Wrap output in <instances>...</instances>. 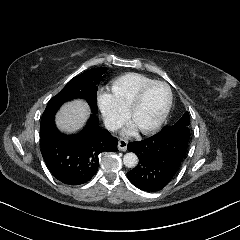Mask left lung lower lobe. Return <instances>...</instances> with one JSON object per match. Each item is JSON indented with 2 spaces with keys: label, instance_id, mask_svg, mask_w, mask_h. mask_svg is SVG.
<instances>
[{
  "label": "left lung lower lobe",
  "instance_id": "obj_1",
  "mask_svg": "<svg viewBox=\"0 0 240 240\" xmlns=\"http://www.w3.org/2000/svg\"><path fill=\"white\" fill-rule=\"evenodd\" d=\"M189 138L180 131L161 130L150 138L130 142L127 149L138 156L139 163L127 173L129 181L147 192L163 189L177 173Z\"/></svg>",
  "mask_w": 240,
  "mask_h": 240
}]
</instances>
